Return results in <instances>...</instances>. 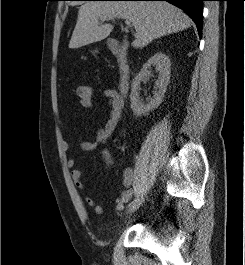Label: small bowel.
Listing matches in <instances>:
<instances>
[{
    "label": "small bowel",
    "mask_w": 245,
    "mask_h": 265,
    "mask_svg": "<svg viewBox=\"0 0 245 265\" xmlns=\"http://www.w3.org/2000/svg\"><path fill=\"white\" fill-rule=\"evenodd\" d=\"M103 95L106 98L108 106L110 108L109 117L106 123L104 124V126L97 131L94 141L81 142L80 148L86 152L92 151L97 145L105 143L113 134L117 125L119 124V122L123 117L124 105H125L123 96L115 89H106L104 90ZM82 106L86 109H92L93 101ZM62 147L64 151H69L70 144L65 141L63 142ZM102 157L108 165L113 164V159L109 150L107 149L103 150ZM67 166L72 169L71 178L76 188L79 190H84V183H83V178L85 175L84 171L80 168H75V159L73 157L68 158ZM133 181H134L133 169L126 168L123 172V185L125 187V190L116 199L117 205L125 204L131 200L134 193ZM84 200L88 206L93 208L96 214H101L103 212V208L100 205L96 204L93 198L86 196Z\"/></svg>",
    "instance_id": "1"
}]
</instances>
